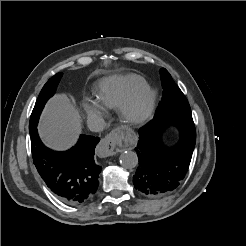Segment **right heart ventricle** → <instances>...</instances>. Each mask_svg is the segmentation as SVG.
Here are the masks:
<instances>
[{
  "label": "right heart ventricle",
  "mask_w": 246,
  "mask_h": 246,
  "mask_svg": "<svg viewBox=\"0 0 246 246\" xmlns=\"http://www.w3.org/2000/svg\"><path fill=\"white\" fill-rule=\"evenodd\" d=\"M147 86L137 74L115 76L102 80L95 92L97 102L107 109H116L135 92Z\"/></svg>",
  "instance_id": "obj_1"
}]
</instances>
